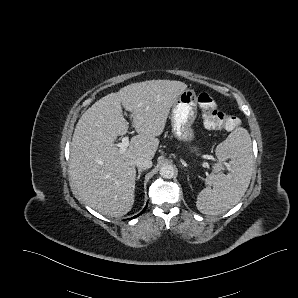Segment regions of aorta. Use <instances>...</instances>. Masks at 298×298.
Here are the masks:
<instances>
[{"mask_svg": "<svg viewBox=\"0 0 298 298\" xmlns=\"http://www.w3.org/2000/svg\"><path fill=\"white\" fill-rule=\"evenodd\" d=\"M159 174L164 179H172L175 175V168L171 164H163L160 167Z\"/></svg>", "mask_w": 298, "mask_h": 298, "instance_id": "1", "label": "aorta"}]
</instances>
